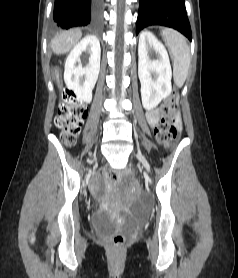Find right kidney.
Returning a JSON list of instances; mask_svg holds the SVG:
<instances>
[{"mask_svg": "<svg viewBox=\"0 0 238 278\" xmlns=\"http://www.w3.org/2000/svg\"><path fill=\"white\" fill-rule=\"evenodd\" d=\"M87 49L91 52L89 64L87 67L76 66L75 64L80 62V55ZM100 55L98 38L87 36L75 45L65 62L64 81L66 85L86 103H90L92 100V90L100 70ZM83 76H85V80L81 83L80 78Z\"/></svg>", "mask_w": 238, "mask_h": 278, "instance_id": "right-kidney-1", "label": "right kidney"}]
</instances>
